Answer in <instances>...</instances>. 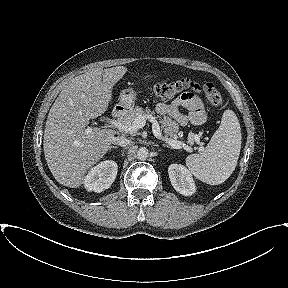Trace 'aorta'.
Wrapping results in <instances>:
<instances>
[{"label":"aorta","mask_w":288,"mask_h":288,"mask_svg":"<svg viewBox=\"0 0 288 288\" xmlns=\"http://www.w3.org/2000/svg\"><path fill=\"white\" fill-rule=\"evenodd\" d=\"M149 156V151L146 147H141L137 151V158L140 160H146Z\"/></svg>","instance_id":"762f6f07"}]
</instances>
